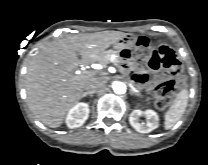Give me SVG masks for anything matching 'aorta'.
<instances>
[{"label":"aorta","instance_id":"1","mask_svg":"<svg viewBox=\"0 0 208 165\" xmlns=\"http://www.w3.org/2000/svg\"><path fill=\"white\" fill-rule=\"evenodd\" d=\"M113 91L116 94H124L126 92V85L123 82H114L112 85Z\"/></svg>","mask_w":208,"mask_h":165}]
</instances>
